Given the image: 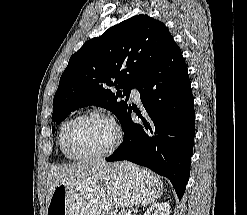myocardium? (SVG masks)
<instances>
[{
    "mask_svg": "<svg viewBox=\"0 0 247 215\" xmlns=\"http://www.w3.org/2000/svg\"><path fill=\"white\" fill-rule=\"evenodd\" d=\"M87 118H97L101 119L111 125L114 130V140L112 144L109 146L108 149L101 153L97 154H80L76 151L74 145V133L78 124L87 119ZM122 140V132L119 125L108 115L100 112V111H88L85 112L76 118H74L68 128L67 136H66V143L69 154L75 159L79 161H98L103 160L111 156L119 147Z\"/></svg>",
    "mask_w": 247,
    "mask_h": 215,
    "instance_id": "myocardium-1",
    "label": "myocardium"
}]
</instances>
